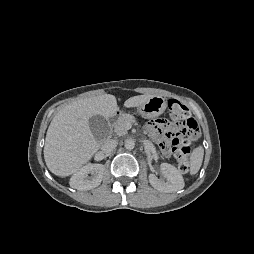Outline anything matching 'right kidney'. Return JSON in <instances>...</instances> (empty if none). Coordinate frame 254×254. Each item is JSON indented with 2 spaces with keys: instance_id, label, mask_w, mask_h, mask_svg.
<instances>
[{
  "instance_id": "1",
  "label": "right kidney",
  "mask_w": 254,
  "mask_h": 254,
  "mask_svg": "<svg viewBox=\"0 0 254 254\" xmlns=\"http://www.w3.org/2000/svg\"><path fill=\"white\" fill-rule=\"evenodd\" d=\"M104 170L105 167L102 164H87L73 174L70 186L80 191L93 189L100 185Z\"/></svg>"
}]
</instances>
